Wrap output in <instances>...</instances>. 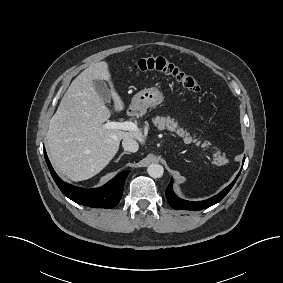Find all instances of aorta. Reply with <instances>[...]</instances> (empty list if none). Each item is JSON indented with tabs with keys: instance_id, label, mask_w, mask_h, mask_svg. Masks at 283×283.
<instances>
[{
	"instance_id": "762f6f07",
	"label": "aorta",
	"mask_w": 283,
	"mask_h": 283,
	"mask_svg": "<svg viewBox=\"0 0 283 283\" xmlns=\"http://www.w3.org/2000/svg\"><path fill=\"white\" fill-rule=\"evenodd\" d=\"M147 172L152 178H160L163 176L164 168L160 164H151L148 166Z\"/></svg>"
}]
</instances>
